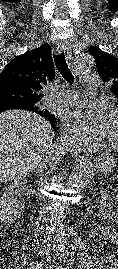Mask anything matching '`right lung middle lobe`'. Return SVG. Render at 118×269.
I'll return each mask as SVG.
<instances>
[{"label":"right lung middle lobe","mask_w":118,"mask_h":269,"mask_svg":"<svg viewBox=\"0 0 118 269\" xmlns=\"http://www.w3.org/2000/svg\"><path fill=\"white\" fill-rule=\"evenodd\" d=\"M14 100L17 103H21V104L28 105V106H35L36 105L34 100H32L30 98H25V97H22V96H15Z\"/></svg>","instance_id":"dd1d6c3e"}]
</instances>
